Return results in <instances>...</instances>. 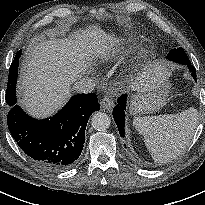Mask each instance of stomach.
<instances>
[{
	"label": "stomach",
	"mask_w": 205,
	"mask_h": 205,
	"mask_svg": "<svg viewBox=\"0 0 205 205\" xmlns=\"http://www.w3.org/2000/svg\"><path fill=\"white\" fill-rule=\"evenodd\" d=\"M170 87L171 82L168 77H165L155 83L151 89L137 91V93L130 98V112L136 115L159 111L167 102Z\"/></svg>",
	"instance_id": "0dacf381"
}]
</instances>
